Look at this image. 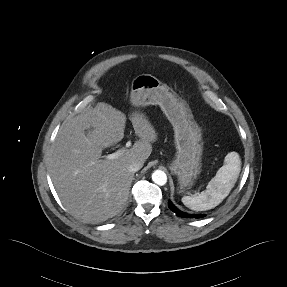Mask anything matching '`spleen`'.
Returning <instances> with one entry per match:
<instances>
[{
  "label": "spleen",
  "instance_id": "obj_1",
  "mask_svg": "<svg viewBox=\"0 0 287 287\" xmlns=\"http://www.w3.org/2000/svg\"><path fill=\"white\" fill-rule=\"evenodd\" d=\"M241 170V161L237 152H230L224 159V165L208 183L206 190L194 196H184L182 203L191 210L205 211L219 205L234 187Z\"/></svg>",
  "mask_w": 287,
  "mask_h": 287
}]
</instances>
